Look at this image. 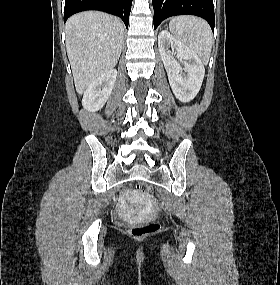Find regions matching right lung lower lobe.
I'll return each instance as SVG.
<instances>
[{"mask_svg":"<svg viewBox=\"0 0 280 285\" xmlns=\"http://www.w3.org/2000/svg\"><path fill=\"white\" fill-rule=\"evenodd\" d=\"M131 4L132 0H65L64 22L74 13L100 10L119 16L128 28Z\"/></svg>","mask_w":280,"mask_h":285,"instance_id":"1","label":"right lung lower lobe"}]
</instances>
